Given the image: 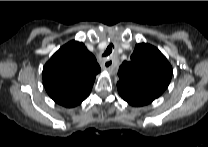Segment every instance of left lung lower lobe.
Masks as SVG:
<instances>
[{
	"instance_id": "0a47b994",
	"label": "left lung lower lobe",
	"mask_w": 208,
	"mask_h": 147,
	"mask_svg": "<svg viewBox=\"0 0 208 147\" xmlns=\"http://www.w3.org/2000/svg\"><path fill=\"white\" fill-rule=\"evenodd\" d=\"M117 88H118V92L120 96L126 102H128L130 105H133V106H144V105L151 103L154 100V98L148 95H145V94L133 91V90H129L121 86H117Z\"/></svg>"
}]
</instances>
